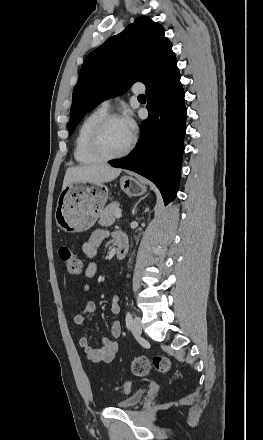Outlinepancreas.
Here are the masks:
<instances>
[{
    "label": "pancreas",
    "mask_w": 263,
    "mask_h": 440,
    "mask_svg": "<svg viewBox=\"0 0 263 440\" xmlns=\"http://www.w3.org/2000/svg\"><path fill=\"white\" fill-rule=\"evenodd\" d=\"M120 211L119 203H110L101 213L99 224L101 226H110L115 222V212Z\"/></svg>",
    "instance_id": "1"
}]
</instances>
